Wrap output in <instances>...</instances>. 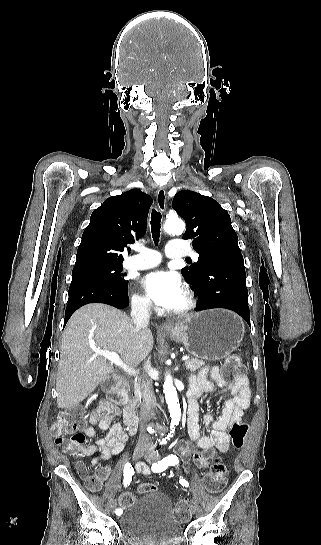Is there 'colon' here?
<instances>
[{"label": "colon", "mask_w": 321, "mask_h": 545, "mask_svg": "<svg viewBox=\"0 0 321 545\" xmlns=\"http://www.w3.org/2000/svg\"><path fill=\"white\" fill-rule=\"evenodd\" d=\"M222 369L225 375L234 380L244 377L245 366L237 357L226 359ZM84 416V409L80 407L65 410L58 415L52 426V434L56 445L63 452L74 454L81 449L85 441V436L82 433ZM247 432V423L239 420L231 424L229 436L235 448L243 446ZM77 472L89 490L98 491L100 489L102 482L96 475H89L87 467L83 463L77 464ZM227 475L228 470L224 462L220 458H215L204 476L206 489L210 493H219L226 484ZM156 489L155 485L146 483L140 486L139 492L146 493L156 491ZM135 498V495L131 492L124 493L120 496L118 505L124 510L132 505ZM173 514L180 522L188 521L190 518L188 504L184 501L177 503Z\"/></svg>", "instance_id": "obj_1"}]
</instances>
